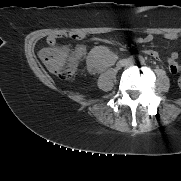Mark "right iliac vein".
<instances>
[{"mask_svg":"<svg viewBox=\"0 0 181 181\" xmlns=\"http://www.w3.org/2000/svg\"><path fill=\"white\" fill-rule=\"evenodd\" d=\"M118 65H119V66L124 65V61L119 62V64H118Z\"/></svg>","mask_w":181,"mask_h":181,"instance_id":"right-iliac-vein-1","label":"right iliac vein"}]
</instances>
